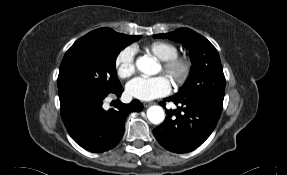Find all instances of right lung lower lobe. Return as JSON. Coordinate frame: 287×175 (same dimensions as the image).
<instances>
[{
  "label": "right lung lower lobe",
  "mask_w": 287,
  "mask_h": 175,
  "mask_svg": "<svg viewBox=\"0 0 287 175\" xmlns=\"http://www.w3.org/2000/svg\"><path fill=\"white\" fill-rule=\"evenodd\" d=\"M123 88L114 95L120 97ZM107 95L72 93L60 98L61 117L73 140L91 152H104L114 148L124 134L128 113L139 112L142 103L133 100L130 104L119 103L116 109L104 110L103 100Z\"/></svg>",
  "instance_id": "obj_1"
}]
</instances>
